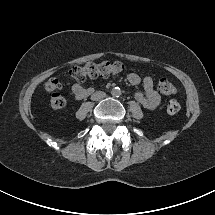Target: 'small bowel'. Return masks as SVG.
Segmentation results:
<instances>
[{"label": "small bowel", "instance_id": "small-bowel-1", "mask_svg": "<svg viewBox=\"0 0 215 215\" xmlns=\"http://www.w3.org/2000/svg\"><path fill=\"white\" fill-rule=\"evenodd\" d=\"M128 82L133 85L142 84L143 92L136 93L135 98L140 102L145 108L149 110L156 109L160 102L161 97L159 93L154 88V82L151 77L141 78L136 73H130L127 76ZM93 89L90 87L82 86L81 84H74L71 89V96L76 99H83L91 95Z\"/></svg>", "mask_w": 215, "mask_h": 215}]
</instances>
